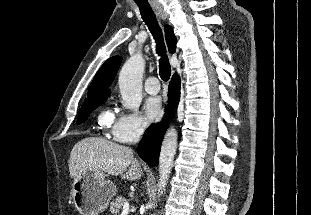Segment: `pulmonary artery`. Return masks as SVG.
<instances>
[{
    "instance_id": "e3ab8cb5",
    "label": "pulmonary artery",
    "mask_w": 311,
    "mask_h": 215,
    "mask_svg": "<svg viewBox=\"0 0 311 215\" xmlns=\"http://www.w3.org/2000/svg\"><path fill=\"white\" fill-rule=\"evenodd\" d=\"M145 90L149 94H157L160 90V84L156 77H149L145 81Z\"/></svg>"
}]
</instances>
